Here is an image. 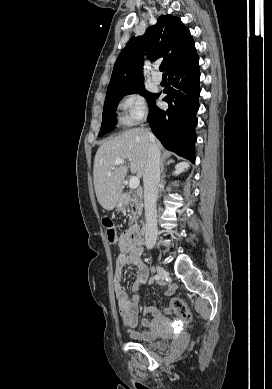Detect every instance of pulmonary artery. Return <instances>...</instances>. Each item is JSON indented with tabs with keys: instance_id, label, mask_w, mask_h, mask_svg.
I'll use <instances>...</instances> for the list:
<instances>
[{
	"instance_id": "obj_1",
	"label": "pulmonary artery",
	"mask_w": 272,
	"mask_h": 389,
	"mask_svg": "<svg viewBox=\"0 0 272 389\" xmlns=\"http://www.w3.org/2000/svg\"><path fill=\"white\" fill-rule=\"evenodd\" d=\"M152 81L155 84H160L162 81V77L158 73H154L152 76Z\"/></svg>"
}]
</instances>
